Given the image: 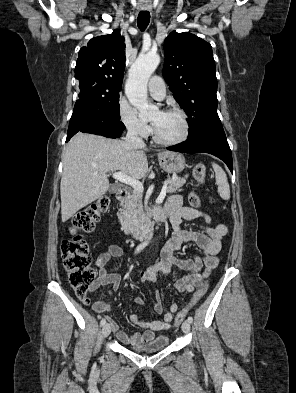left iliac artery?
<instances>
[{
  "label": "left iliac artery",
  "mask_w": 296,
  "mask_h": 393,
  "mask_svg": "<svg viewBox=\"0 0 296 393\" xmlns=\"http://www.w3.org/2000/svg\"><path fill=\"white\" fill-rule=\"evenodd\" d=\"M187 320H188L189 323L193 322V318L191 316H189Z\"/></svg>",
  "instance_id": "obj_1"
}]
</instances>
